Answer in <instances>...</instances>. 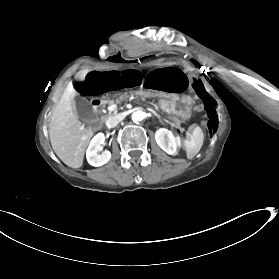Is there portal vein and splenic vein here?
<instances>
[{"label": "portal vein and splenic vein", "mask_w": 279, "mask_h": 279, "mask_svg": "<svg viewBox=\"0 0 279 279\" xmlns=\"http://www.w3.org/2000/svg\"><path fill=\"white\" fill-rule=\"evenodd\" d=\"M116 108H117V105H111V106L108 107V110H114ZM162 121L165 122L166 124L172 126V128L179 129V134H184V132L186 131V128H183V127L178 126V125H173V123H171L170 121H168L165 118H162Z\"/></svg>", "instance_id": "1"}]
</instances>
